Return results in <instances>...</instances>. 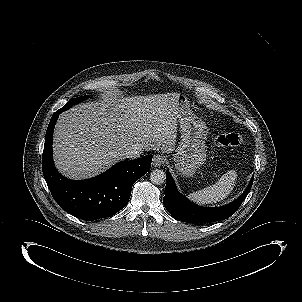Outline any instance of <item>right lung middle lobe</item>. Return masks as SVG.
Returning a JSON list of instances; mask_svg holds the SVG:
<instances>
[{"mask_svg":"<svg viewBox=\"0 0 302 302\" xmlns=\"http://www.w3.org/2000/svg\"><path fill=\"white\" fill-rule=\"evenodd\" d=\"M87 98V96H81V97H78V98H73V99H70L64 107H62L61 109H59L61 112L69 109L70 107H72L73 105L79 103V102H82L83 100H85Z\"/></svg>","mask_w":302,"mask_h":302,"instance_id":"obj_1","label":"right lung middle lobe"}]
</instances>
